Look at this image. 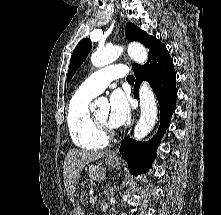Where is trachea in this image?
<instances>
[{
	"label": "trachea",
	"instance_id": "1",
	"mask_svg": "<svg viewBox=\"0 0 221 215\" xmlns=\"http://www.w3.org/2000/svg\"><path fill=\"white\" fill-rule=\"evenodd\" d=\"M100 5H102V4H100ZM127 81H134V77L132 75H128Z\"/></svg>",
	"mask_w": 221,
	"mask_h": 215
}]
</instances>
